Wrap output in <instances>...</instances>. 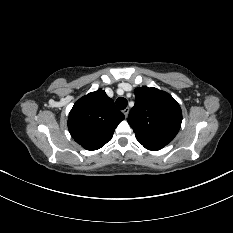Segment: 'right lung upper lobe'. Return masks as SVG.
Instances as JSON below:
<instances>
[{"label":"right lung upper lobe","instance_id":"cb5924a9","mask_svg":"<svg viewBox=\"0 0 233 233\" xmlns=\"http://www.w3.org/2000/svg\"><path fill=\"white\" fill-rule=\"evenodd\" d=\"M124 115L105 91L98 89L79 99L68 117V129L75 141L87 150H97L112 139Z\"/></svg>","mask_w":233,"mask_h":233}]
</instances>
